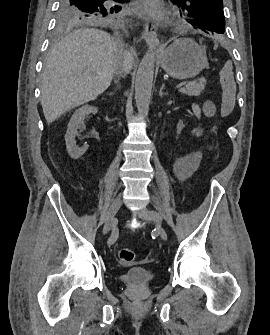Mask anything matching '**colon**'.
Returning a JSON list of instances; mask_svg holds the SVG:
<instances>
[{
	"label": "colon",
	"instance_id": "obj_1",
	"mask_svg": "<svg viewBox=\"0 0 270 335\" xmlns=\"http://www.w3.org/2000/svg\"><path fill=\"white\" fill-rule=\"evenodd\" d=\"M223 67L225 69V72L220 73L223 90L221 92L219 109H222V118H227V116H233V109H236V102L234 98L235 83L233 79V73L230 72V69H233L234 64L233 62H224ZM117 256L122 264H129L134 260L135 254L132 249L119 248L117 250Z\"/></svg>",
	"mask_w": 270,
	"mask_h": 335
}]
</instances>
